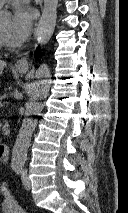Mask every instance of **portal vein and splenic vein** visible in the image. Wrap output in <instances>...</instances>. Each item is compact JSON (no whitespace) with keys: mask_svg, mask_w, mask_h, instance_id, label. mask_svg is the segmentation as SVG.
I'll return each instance as SVG.
<instances>
[{"mask_svg":"<svg viewBox=\"0 0 128 213\" xmlns=\"http://www.w3.org/2000/svg\"><path fill=\"white\" fill-rule=\"evenodd\" d=\"M3 106V104H2V102H0V107H2Z\"/></svg>","mask_w":128,"mask_h":213,"instance_id":"1","label":"portal vein and splenic vein"}]
</instances>
